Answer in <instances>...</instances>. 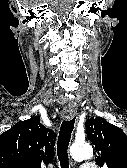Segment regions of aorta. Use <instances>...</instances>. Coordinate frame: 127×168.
<instances>
[{"mask_svg": "<svg viewBox=\"0 0 127 168\" xmlns=\"http://www.w3.org/2000/svg\"><path fill=\"white\" fill-rule=\"evenodd\" d=\"M71 156L77 161L90 159L93 155V149L89 143H76L71 147Z\"/></svg>", "mask_w": 127, "mask_h": 168, "instance_id": "762f6f07", "label": "aorta"}]
</instances>
